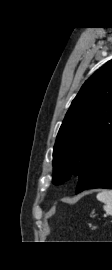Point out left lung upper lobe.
<instances>
[{
	"mask_svg": "<svg viewBox=\"0 0 112 270\" xmlns=\"http://www.w3.org/2000/svg\"><path fill=\"white\" fill-rule=\"evenodd\" d=\"M112 147V60L81 87L63 120L53 151V183L81 181Z\"/></svg>",
	"mask_w": 112,
	"mask_h": 270,
	"instance_id": "obj_1",
	"label": "left lung upper lobe"
}]
</instances>
